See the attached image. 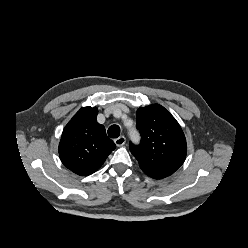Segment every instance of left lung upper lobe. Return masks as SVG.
Listing matches in <instances>:
<instances>
[{
	"mask_svg": "<svg viewBox=\"0 0 248 248\" xmlns=\"http://www.w3.org/2000/svg\"><path fill=\"white\" fill-rule=\"evenodd\" d=\"M137 128L141 143L130 142L131 153L147 175L170 176L183 164L187 145L176 119L161 105L152 104L137 110Z\"/></svg>",
	"mask_w": 248,
	"mask_h": 248,
	"instance_id": "left-lung-upper-lobe-1",
	"label": "left lung upper lobe"
}]
</instances>
